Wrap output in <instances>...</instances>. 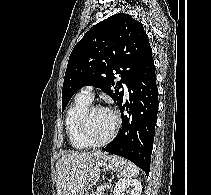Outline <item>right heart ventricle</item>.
Wrapping results in <instances>:
<instances>
[{
  "instance_id": "obj_1",
  "label": "right heart ventricle",
  "mask_w": 211,
  "mask_h": 195,
  "mask_svg": "<svg viewBox=\"0 0 211 195\" xmlns=\"http://www.w3.org/2000/svg\"><path fill=\"white\" fill-rule=\"evenodd\" d=\"M91 104V100L78 94L68 108L65 118L66 132L71 145L77 150H85L90 146L83 141L79 133V120L84 110Z\"/></svg>"
}]
</instances>
